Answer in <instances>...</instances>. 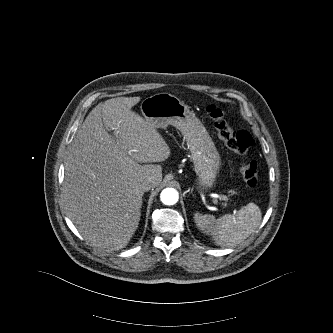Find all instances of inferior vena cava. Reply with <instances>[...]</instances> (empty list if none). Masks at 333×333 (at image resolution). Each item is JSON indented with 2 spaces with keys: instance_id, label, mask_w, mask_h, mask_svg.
<instances>
[{
  "instance_id": "obj_1",
  "label": "inferior vena cava",
  "mask_w": 333,
  "mask_h": 333,
  "mask_svg": "<svg viewBox=\"0 0 333 333\" xmlns=\"http://www.w3.org/2000/svg\"><path fill=\"white\" fill-rule=\"evenodd\" d=\"M153 184H154V180L152 178H149L148 180H146L143 183L142 188L144 189V191H148L152 188Z\"/></svg>"
}]
</instances>
